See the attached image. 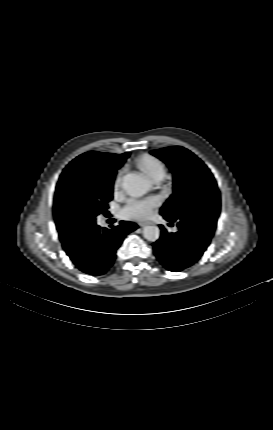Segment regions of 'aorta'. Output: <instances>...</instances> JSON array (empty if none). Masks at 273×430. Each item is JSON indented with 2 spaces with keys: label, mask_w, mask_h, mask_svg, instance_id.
Segmentation results:
<instances>
[{
  "label": "aorta",
  "mask_w": 273,
  "mask_h": 430,
  "mask_svg": "<svg viewBox=\"0 0 273 430\" xmlns=\"http://www.w3.org/2000/svg\"><path fill=\"white\" fill-rule=\"evenodd\" d=\"M123 188L130 196L140 197L150 190L151 183L139 174L128 173L123 177ZM143 236L146 240L155 242L160 237V229L157 226H145Z\"/></svg>",
  "instance_id": "aorta-1"
}]
</instances>
